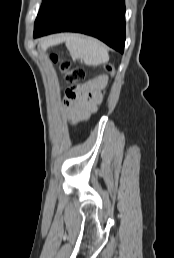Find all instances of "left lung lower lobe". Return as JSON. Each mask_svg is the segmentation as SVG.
Segmentation results:
<instances>
[{
	"label": "left lung lower lobe",
	"mask_w": 174,
	"mask_h": 258,
	"mask_svg": "<svg viewBox=\"0 0 174 258\" xmlns=\"http://www.w3.org/2000/svg\"><path fill=\"white\" fill-rule=\"evenodd\" d=\"M63 31L97 37L123 53L125 43L124 0H57L34 38Z\"/></svg>",
	"instance_id": "1"
}]
</instances>
